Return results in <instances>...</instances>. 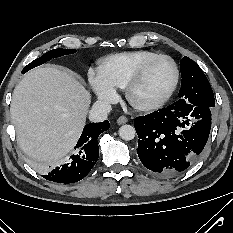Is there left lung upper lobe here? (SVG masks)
<instances>
[{
	"mask_svg": "<svg viewBox=\"0 0 233 233\" xmlns=\"http://www.w3.org/2000/svg\"><path fill=\"white\" fill-rule=\"evenodd\" d=\"M180 67L182 81L178 102L214 107V94L202 69L186 56L181 59Z\"/></svg>",
	"mask_w": 233,
	"mask_h": 233,
	"instance_id": "1",
	"label": "left lung upper lobe"
}]
</instances>
